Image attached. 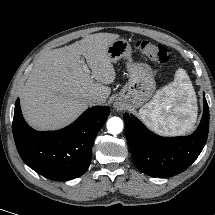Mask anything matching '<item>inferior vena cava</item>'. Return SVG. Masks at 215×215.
<instances>
[{
    "label": "inferior vena cava",
    "mask_w": 215,
    "mask_h": 215,
    "mask_svg": "<svg viewBox=\"0 0 215 215\" xmlns=\"http://www.w3.org/2000/svg\"><path fill=\"white\" fill-rule=\"evenodd\" d=\"M89 105H100L103 103V99L99 96L93 95L88 97Z\"/></svg>",
    "instance_id": "602c4592"
}]
</instances>
